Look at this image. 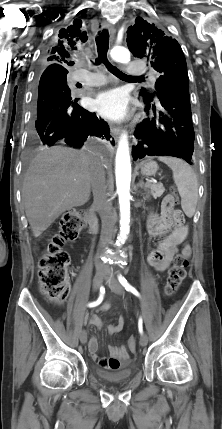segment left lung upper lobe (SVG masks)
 <instances>
[{
  "mask_svg": "<svg viewBox=\"0 0 222 429\" xmlns=\"http://www.w3.org/2000/svg\"><path fill=\"white\" fill-rule=\"evenodd\" d=\"M135 22L127 31L128 48L135 57L149 58L151 66L159 73L156 92L149 93L142 88L140 95L144 99L154 100L159 89L168 81L181 82L189 87L186 60L179 43L140 17Z\"/></svg>",
  "mask_w": 222,
  "mask_h": 429,
  "instance_id": "1",
  "label": "left lung upper lobe"
}]
</instances>
